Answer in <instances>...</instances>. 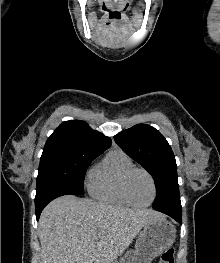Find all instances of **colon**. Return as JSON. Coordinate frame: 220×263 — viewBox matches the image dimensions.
Instances as JSON below:
<instances>
[{
  "label": "colon",
  "mask_w": 220,
  "mask_h": 263,
  "mask_svg": "<svg viewBox=\"0 0 220 263\" xmlns=\"http://www.w3.org/2000/svg\"><path fill=\"white\" fill-rule=\"evenodd\" d=\"M159 263H174V249H166L160 257Z\"/></svg>",
  "instance_id": "5ec220e1"
}]
</instances>
